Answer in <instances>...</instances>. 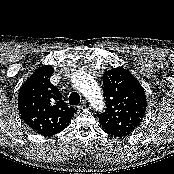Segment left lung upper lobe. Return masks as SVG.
<instances>
[{
  "label": "left lung upper lobe",
  "instance_id": "left-lung-upper-lobe-1",
  "mask_svg": "<svg viewBox=\"0 0 174 174\" xmlns=\"http://www.w3.org/2000/svg\"><path fill=\"white\" fill-rule=\"evenodd\" d=\"M106 111L97 113L103 130L113 136L125 137L139 127L147 101L139 81L126 69L117 67L103 75Z\"/></svg>",
  "mask_w": 174,
  "mask_h": 174
}]
</instances>
